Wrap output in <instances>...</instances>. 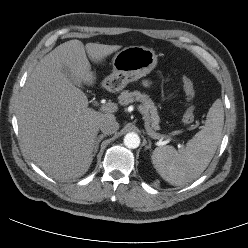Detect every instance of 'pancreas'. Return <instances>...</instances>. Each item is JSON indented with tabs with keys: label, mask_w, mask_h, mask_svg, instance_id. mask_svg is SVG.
Segmentation results:
<instances>
[{
	"label": "pancreas",
	"mask_w": 248,
	"mask_h": 248,
	"mask_svg": "<svg viewBox=\"0 0 248 248\" xmlns=\"http://www.w3.org/2000/svg\"><path fill=\"white\" fill-rule=\"evenodd\" d=\"M118 99L121 105H128L129 103H133L135 101L141 102L142 103L141 106L145 111L144 120L146 127L150 128L151 131L154 133H156L155 132L156 130L160 129L159 127L160 117L157 112V107L155 106L154 102L147 94L141 93L138 90H135L133 92L123 91L119 95Z\"/></svg>",
	"instance_id": "cf45deb5"
}]
</instances>
